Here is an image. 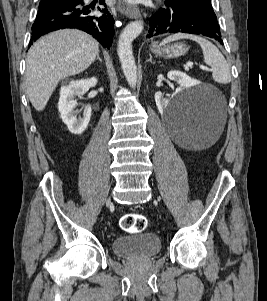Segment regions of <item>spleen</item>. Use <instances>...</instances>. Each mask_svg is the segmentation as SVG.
<instances>
[{
  "label": "spleen",
  "mask_w": 267,
  "mask_h": 301,
  "mask_svg": "<svg viewBox=\"0 0 267 301\" xmlns=\"http://www.w3.org/2000/svg\"><path fill=\"white\" fill-rule=\"evenodd\" d=\"M178 39H190L196 41L201 46L204 62L212 68V78L214 81L221 84H227L231 81L229 65L222 53L213 43L196 35L177 33L165 38L161 42V45H165Z\"/></svg>",
  "instance_id": "obj_1"
}]
</instances>
